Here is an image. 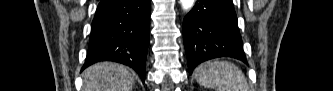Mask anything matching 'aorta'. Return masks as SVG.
I'll list each match as a JSON object with an SVG mask.
<instances>
[{
  "label": "aorta",
  "instance_id": "1",
  "mask_svg": "<svg viewBox=\"0 0 333 91\" xmlns=\"http://www.w3.org/2000/svg\"><path fill=\"white\" fill-rule=\"evenodd\" d=\"M182 8L184 10H189L193 7L195 4V0H180Z\"/></svg>",
  "mask_w": 333,
  "mask_h": 91
}]
</instances>
